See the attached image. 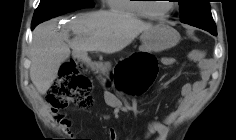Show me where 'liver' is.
<instances>
[{
	"mask_svg": "<svg viewBox=\"0 0 236 140\" xmlns=\"http://www.w3.org/2000/svg\"><path fill=\"white\" fill-rule=\"evenodd\" d=\"M152 27L132 15L110 11L80 14L59 32L55 23H42L33 31L30 78L38 92L45 95L61 64L70 56V49L79 56L89 51L112 54ZM69 31L75 35L71 40Z\"/></svg>",
	"mask_w": 236,
	"mask_h": 140,
	"instance_id": "1",
	"label": "liver"
}]
</instances>
